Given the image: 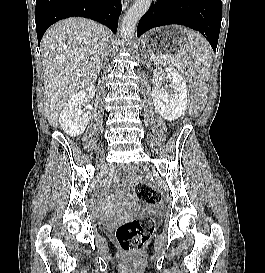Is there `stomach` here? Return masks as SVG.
Segmentation results:
<instances>
[{
  "instance_id": "1",
  "label": "stomach",
  "mask_w": 265,
  "mask_h": 273,
  "mask_svg": "<svg viewBox=\"0 0 265 273\" xmlns=\"http://www.w3.org/2000/svg\"><path fill=\"white\" fill-rule=\"evenodd\" d=\"M180 35H185L184 25H159V30H149L144 40H139L140 49L146 51V56H178Z\"/></svg>"
}]
</instances>
